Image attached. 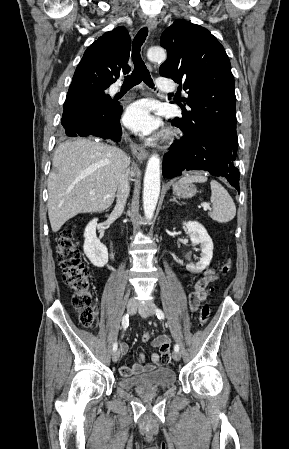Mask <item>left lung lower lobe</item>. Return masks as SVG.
Listing matches in <instances>:
<instances>
[{"label":"left lung lower lobe","mask_w":289,"mask_h":449,"mask_svg":"<svg viewBox=\"0 0 289 449\" xmlns=\"http://www.w3.org/2000/svg\"><path fill=\"white\" fill-rule=\"evenodd\" d=\"M172 125L181 129L183 138L175 141L163 157L164 178L180 176L184 170H204L225 177L240 192L239 170L234 163L236 133L216 124H195L189 128L174 119Z\"/></svg>","instance_id":"0a47b994"}]
</instances>
